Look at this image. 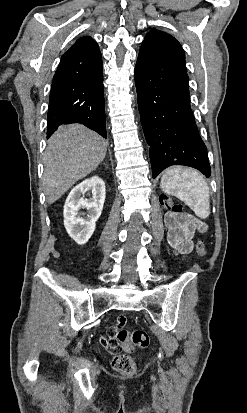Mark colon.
Masks as SVG:
<instances>
[{
	"instance_id": "colon-1",
	"label": "colon",
	"mask_w": 247,
	"mask_h": 413,
	"mask_svg": "<svg viewBox=\"0 0 247 413\" xmlns=\"http://www.w3.org/2000/svg\"><path fill=\"white\" fill-rule=\"evenodd\" d=\"M161 203L168 210H173L175 216H183L185 214L184 207L181 203L175 201L174 199L163 196L161 198ZM195 250L202 256L207 252L206 246L202 239L198 238L194 243ZM116 340L120 342L124 347V353H119L118 357H112L111 364L113 368L123 374H131L136 370V363L129 355L133 351V346L135 348H148L150 338L148 332L144 330L131 329L129 332H120L116 335ZM136 351L134 350V353Z\"/></svg>"
}]
</instances>
